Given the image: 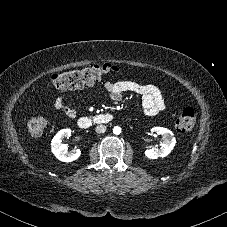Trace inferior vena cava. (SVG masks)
Wrapping results in <instances>:
<instances>
[{"instance_id":"obj_1","label":"inferior vena cava","mask_w":227,"mask_h":227,"mask_svg":"<svg viewBox=\"0 0 227 227\" xmlns=\"http://www.w3.org/2000/svg\"><path fill=\"white\" fill-rule=\"evenodd\" d=\"M95 131L97 133H104L106 131V126L105 125H98L96 128H95Z\"/></svg>"}]
</instances>
